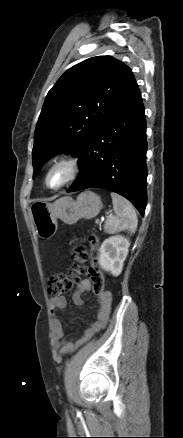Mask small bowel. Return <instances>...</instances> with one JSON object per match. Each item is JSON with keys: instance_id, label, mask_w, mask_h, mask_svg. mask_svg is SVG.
Wrapping results in <instances>:
<instances>
[{"instance_id": "obj_1", "label": "small bowel", "mask_w": 183, "mask_h": 438, "mask_svg": "<svg viewBox=\"0 0 183 438\" xmlns=\"http://www.w3.org/2000/svg\"><path fill=\"white\" fill-rule=\"evenodd\" d=\"M92 289V285L89 279H82L78 282L75 291L72 294V301L74 305L81 306L83 305L82 295L90 291ZM98 309L95 316V320L84 330L83 335L76 340H67L61 342L62 338L65 335V330L62 322L58 317H56L55 313L57 310H64L67 306V301L64 296L59 297H51L49 300L50 311L52 314V318L50 321V327L52 329L53 338L56 344V347L62 353L71 352L75 346L79 345L83 341L90 339L95 333L104 328L108 322L111 304H112V295L110 292L105 291L103 294L98 296L97 298Z\"/></svg>"}]
</instances>
